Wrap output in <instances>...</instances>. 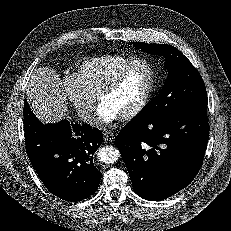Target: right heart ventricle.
I'll return each mask as SVG.
<instances>
[{
  "label": "right heart ventricle",
  "mask_w": 231,
  "mask_h": 231,
  "mask_svg": "<svg viewBox=\"0 0 231 231\" xmlns=\"http://www.w3.org/2000/svg\"><path fill=\"white\" fill-rule=\"evenodd\" d=\"M135 58L122 54H102L76 64L73 75L88 93L96 94L103 84Z\"/></svg>",
  "instance_id": "1"
}]
</instances>
